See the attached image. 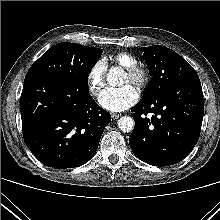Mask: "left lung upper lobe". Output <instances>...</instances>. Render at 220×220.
I'll return each mask as SVG.
<instances>
[{
  "instance_id": "5c2ea615",
  "label": "left lung upper lobe",
  "mask_w": 220,
  "mask_h": 220,
  "mask_svg": "<svg viewBox=\"0 0 220 220\" xmlns=\"http://www.w3.org/2000/svg\"><path fill=\"white\" fill-rule=\"evenodd\" d=\"M141 50L150 71L149 74L152 76L142 102L170 90L180 82L199 78L185 59L165 46L154 45L142 47Z\"/></svg>"
}]
</instances>
